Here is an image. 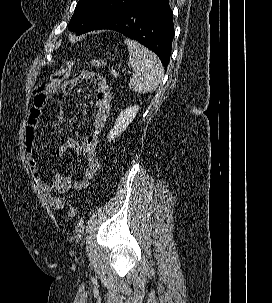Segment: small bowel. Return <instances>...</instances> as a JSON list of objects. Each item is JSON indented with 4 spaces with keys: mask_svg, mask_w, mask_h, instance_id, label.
Wrapping results in <instances>:
<instances>
[{
    "mask_svg": "<svg viewBox=\"0 0 272 303\" xmlns=\"http://www.w3.org/2000/svg\"><path fill=\"white\" fill-rule=\"evenodd\" d=\"M82 81H92L96 87L91 132L85 139H68L57 149L56 156L63 158L67 151L71 150L78 156L85 158L87 167L83 178L73 180L66 174L56 173L51 183H46L43 179L41 169L35 157V149L39 118L51 93L48 85L40 86L34 91L32 106L28 112L25 128V150L28 156L29 168L47 203L55 210H62L65 207V195L68 192L87 189L101 168L97 147L100 134L110 114L112 95L105 78L91 71H81L73 79L63 82L59 92L63 95H68Z\"/></svg>",
    "mask_w": 272,
    "mask_h": 303,
    "instance_id": "c3829d8e",
    "label": "small bowel"
}]
</instances>
